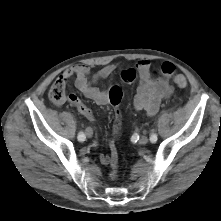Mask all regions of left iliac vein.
<instances>
[{
  "label": "left iliac vein",
  "mask_w": 221,
  "mask_h": 221,
  "mask_svg": "<svg viewBox=\"0 0 221 221\" xmlns=\"http://www.w3.org/2000/svg\"><path fill=\"white\" fill-rule=\"evenodd\" d=\"M149 141L148 137L147 136H141L140 139H139V143L144 145V144H147Z\"/></svg>",
  "instance_id": "1"
}]
</instances>
